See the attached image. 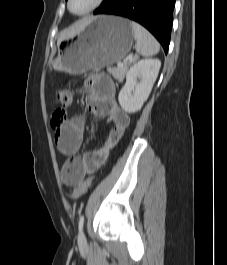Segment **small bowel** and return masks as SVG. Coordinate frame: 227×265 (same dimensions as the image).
Returning a JSON list of instances; mask_svg holds the SVG:
<instances>
[{
  "label": "small bowel",
  "instance_id": "small-bowel-1",
  "mask_svg": "<svg viewBox=\"0 0 227 265\" xmlns=\"http://www.w3.org/2000/svg\"><path fill=\"white\" fill-rule=\"evenodd\" d=\"M86 106L95 116L104 117L111 129L104 145L96 150L86 152L77 158L67 185H79L86 174L97 171L107 161L110 150L116 146L130 124L129 115L119 108L115 100V86L111 78L100 72H93L86 82ZM85 119L74 116L56 129L54 141L57 149L65 156H74L81 148L84 137ZM75 158V157H73Z\"/></svg>",
  "mask_w": 227,
  "mask_h": 265
}]
</instances>
